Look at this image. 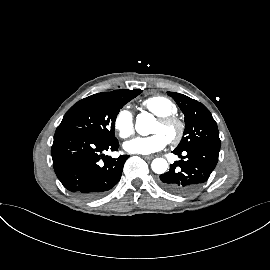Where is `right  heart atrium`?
Returning a JSON list of instances; mask_svg holds the SVG:
<instances>
[{
	"mask_svg": "<svg viewBox=\"0 0 270 270\" xmlns=\"http://www.w3.org/2000/svg\"><path fill=\"white\" fill-rule=\"evenodd\" d=\"M113 127L119 137L125 139L134 132V118L128 107L118 110L113 119Z\"/></svg>",
	"mask_w": 270,
	"mask_h": 270,
	"instance_id": "obj_1",
	"label": "right heart atrium"
}]
</instances>
